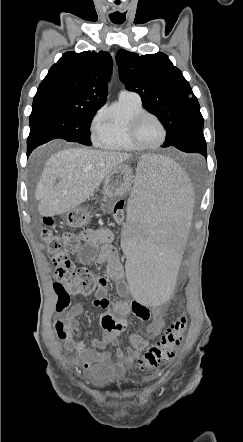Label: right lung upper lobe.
I'll use <instances>...</instances> for the list:
<instances>
[{
  "instance_id": "1",
  "label": "right lung upper lobe",
  "mask_w": 243,
  "mask_h": 442,
  "mask_svg": "<svg viewBox=\"0 0 243 442\" xmlns=\"http://www.w3.org/2000/svg\"><path fill=\"white\" fill-rule=\"evenodd\" d=\"M112 66L108 52H66L50 68L34 98L58 97L75 106L99 109L106 101Z\"/></svg>"
}]
</instances>
